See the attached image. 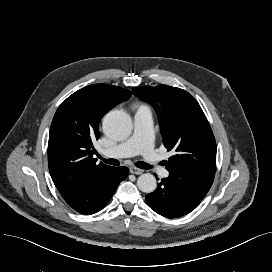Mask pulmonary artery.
<instances>
[{
	"label": "pulmonary artery",
	"mask_w": 272,
	"mask_h": 272,
	"mask_svg": "<svg viewBox=\"0 0 272 272\" xmlns=\"http://www.w3.org/2000/svg\"><path fill=\"white\" fill-rule=\"evenodd\" d=\"M153 115L148 108H139L134 114V130L129 139L112 148L102 151L105 157H129L141 153L146 162L152 165L163 177L169 172L161 167L160 159L153 145Z\"/></svg>",
	"instance_id": "obj_1"
}]
</instances>
